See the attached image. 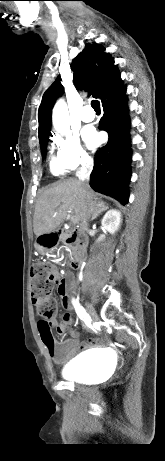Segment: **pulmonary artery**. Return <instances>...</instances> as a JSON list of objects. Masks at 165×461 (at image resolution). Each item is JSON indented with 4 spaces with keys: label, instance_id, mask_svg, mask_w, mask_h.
<instances>
[{
    "label": "pulmonary artery",
    "instance_id": "pulmonary-artery-1",
    "mask_svg": "<svg viewBox=\"0 0 165 461\" xmlns=\"http://www.w3.org/2000/svg\"><path fill=\"white\" fill-rule=\"evenodd\" d=\"M81 120L84 122H91L95 118V114L90 108V106H84L80 114Z\"/></svg>",
    "mask_w": 165,
    "mask_h": 461
}]
</instances>
